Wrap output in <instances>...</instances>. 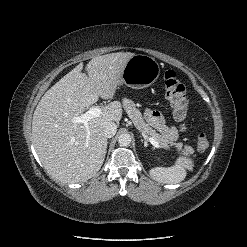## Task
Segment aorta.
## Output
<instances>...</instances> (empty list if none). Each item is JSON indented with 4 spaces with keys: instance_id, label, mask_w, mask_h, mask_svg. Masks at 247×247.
<instances>
[{
    "instance_id": "obj_1",
    "label": "aorta",
    "mask_w": 247,
    "mask_h": 247,
    "mask_svg": "<svg viewBox=\"0 0 247 247\" xmlns=\"http://www.w3.org/2000/svg\"><path fill=\"white\" fill-rule=\"evenodd\" d=\"M131 141H132V137L128 133H122L118 137V144L120 146H129L131 144Z\"/></svg>"
}]
</instances>
